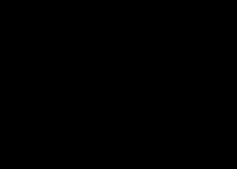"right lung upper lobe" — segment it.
I'll use <instances>...</instances> for the list:
<instances>
[{
	"label": "right lung upper lobe",
	"mask_w": 237,
	"mask_h": 169,
	"mask_svg": "<svg viewBox=\"0 0 237 169\" xmlns=\"http://www.w3.org/2000/svg\"><path fill=\"white\" fill-rule=\"evenodd\" d=\"M121 34H79L50 59L43 79L46 108L53 125L79 108L95 90L92 75L124 42Z\"/></svg>",
	"instance_id": "cb5924a9"
}]
</instances>
